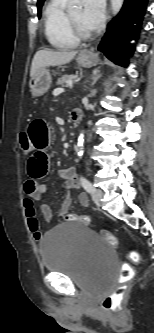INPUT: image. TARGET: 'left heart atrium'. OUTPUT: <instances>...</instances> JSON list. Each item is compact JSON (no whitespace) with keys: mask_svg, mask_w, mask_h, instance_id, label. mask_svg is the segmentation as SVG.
<instances>
[{"mask_svg":"<svg viewBox=\"0 0 154 333\" xmlns=\"http://www.w3.org/2000/svg\"><path fill=\"white\" fill-rule=\"evenodd\" d=\"M105 10V0H83L81 20L90 30L97 29L102 23Z\"/></svg>","mask_w":154,"mask_h":333,"instance_id":"obj_1","label":"left heart atrium"}]
</instances>
